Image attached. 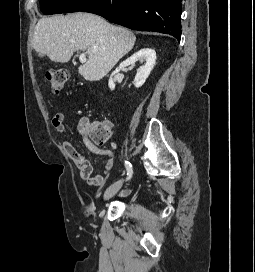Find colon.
<instances>
[{
  "mask_svg": "<svg viewBox=\"0 0 255 272\" xmlns=\"http://www.w3.org/2000/svg\"><path fill=\"white\" fill-rule=\"evenodd\" d=\"M69 76V72L61 68L48 69L45 72V78L55 94L61 93ZM113 129L114 125L111 121H95L85 127V133L94 143L106 145L110 141Z\"/></svg>",
  "mask_w": 255,
  "mask_h": 272,
  "instance_id": "1",
  "label": "colon"
}]
</instances>
